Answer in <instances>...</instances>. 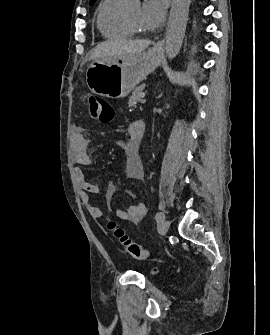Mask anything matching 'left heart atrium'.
Segmentation results:
<instances>
[{
  "mask_svg": "<svg viewBox=\"0 0 270 335\" xmlns=\"http://www.w3.org/2000/svg\"><path fill=\"white\" fill-rule=\"evenodd\" d=\"M167 4L164 0L145 1L140 18V29L148 35L155 34L163 25Z\"/></svg>",
  "mask_w": 270,
  "mask_h": 335,
  "instance_id": "obj_1",
  "label": "left heart atrium"
}]
</instances>
